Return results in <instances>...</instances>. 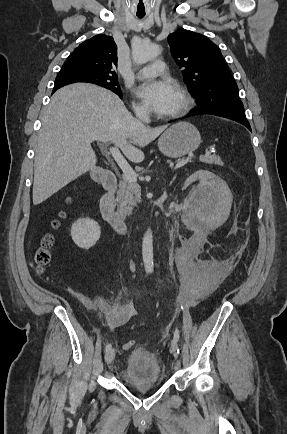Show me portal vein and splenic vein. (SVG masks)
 <instances>
[{"label": "portal vein and splenic vein", "instance_id": "portal-vein-and-splenic-vein-1", "mask_svg": "<svg viewBox=\"0 0 287 434\" xmlns=\"http://www.w3.org/2000/svg\"><path fill=\"white\" fill-rule=\"evenodd\" d=\"M109 153L112 155L113 159L116 161L118 166L121 168L123 172V176L128 180L129 182L136 183L137 182V174L133 171L131 166L128 164L126 159L123 157L121 152L118 149V145L115 144L114 147H108ZM192 159V156L182 159L176 163L174 166V170L179 169L180 167L184 166L186 163H188Z\"/></svg>", "mask_w": 287, "mask_h": 434}]
</instances>
